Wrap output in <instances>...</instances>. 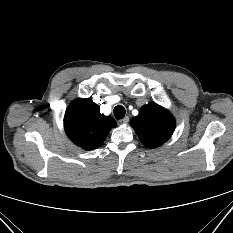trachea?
Segmentation results:
<instances>
[{"mask_svg":"<svg viewBox=\"0 0 233 233\" xmlns=\"http://www.w3.org/2000/svg\"><path fill=\"white\" fill-rule=\"evenodd\" d=\"M114 115L116 119H122L125 116V109L123 106L118 105L114 108Z\"/></svg>","mask_w":233,"mask_h":233,"instance_id":"3493384b","label":"trachea"}]
</instances>
